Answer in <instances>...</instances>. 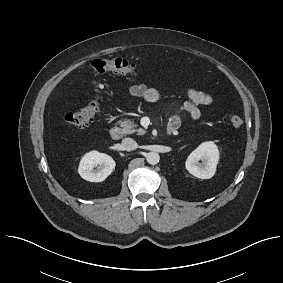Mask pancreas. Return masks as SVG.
<instances>
[{
    "instance_id": "1",
    "label": "pancreas",
    "mask_w": 283,
    "mask_h": 283,
    "mask_svg": "<svg viewBox=\"0 0 283 283\" xmlns=\"http://www.w3.org/2000/svg\"><path fill=\"white\" fill-rule=\"evenodd\" d=\"M120 126L122 127V132L124 134H133L137 132L139 135H144L146 133V131L142 128L136 129V124L130 119L120 121Z\"/></svg>"
}]
</instances>
